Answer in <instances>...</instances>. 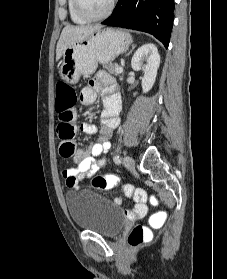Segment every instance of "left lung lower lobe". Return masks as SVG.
Instances as JSON below:
<instances>
[{"label": "left lung lower lobe", "mask_w": 227, "mask_h": 279, "mask_svg": "<svg viewBox=\"0 0 227 279\" xmlns=\"http://www.w3.org/2000/svg\"><path fill=\"white\" fill-rule=\"evenodd\" d=\"M174 0H119L104 25L150 33L167 48L174 19Z\"/></svg>", "instance_id": "0a47b994"}]
</instances>
